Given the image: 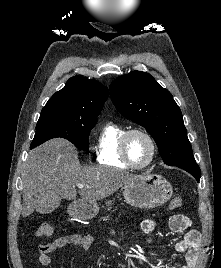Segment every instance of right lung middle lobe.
<instances>
[{
  "label": "right lung middle lobe",
  "mask_w": 221,
  "mask_h": 268,
  "mask_svg": "<svg viewBox=\"0 0 221 268\" xmlns=\"http://www.w3.org/2000/svg\"><path fill=\"white\" fill-rule=\"evenodd\" d=\"M97 123L96 119L79 118L62 112H41L35 137L30 148L52 138H65L81 150H89V133Z\"/></svg>",
  "instance_id": "dd1d6c3e"
}]
</instances>
